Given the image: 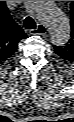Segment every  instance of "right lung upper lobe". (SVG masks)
Wrapping results in <instances>:
<instances>
[{
    "label": "right lung upper lobe",
    "mask_w": 74,
    "mask_h": 122,
    "mask_svg": "<svg viewBox=\"0 0 74 122\" xmlns=\"http://www.w3.org/2000/svg\"><path fill=\"white\" fill-rule=\"evenodd\" d=\"M27 38L22 28L11 18L5 1H0V63L8 60L18 42Z\"/></svg>",
    "instance_id": "right-lung-upper-lobe-1"
}]
</instances>
